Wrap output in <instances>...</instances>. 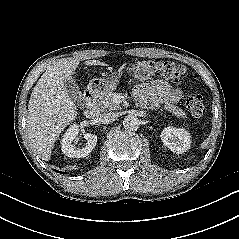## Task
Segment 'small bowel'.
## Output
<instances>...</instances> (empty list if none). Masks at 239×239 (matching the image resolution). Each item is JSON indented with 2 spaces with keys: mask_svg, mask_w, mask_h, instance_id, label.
<instances>
[{
  "mask_svg": "<svg viewBox=\"0 0 239 239\" xmlns=\"http://www.w3.org/2000/svg\"><path fill=\"white\" fill-rule=\"evenodd\" d=\"M134 94L143 105L158 107L165 103L176 102L181 98V91L163 80L144 82L136 86Z\"/></svg>",
  "mask_w": 239,
  "mask_h": 239,
  "instance_id": "obj_1",
  "label": "small bowel"
}]
</instances>
